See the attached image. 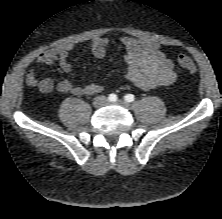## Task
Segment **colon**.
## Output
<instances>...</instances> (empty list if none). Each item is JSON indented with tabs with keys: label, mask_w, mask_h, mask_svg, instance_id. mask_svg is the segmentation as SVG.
Segmentation results:
<instances>
[{
	"label": "colon",
	"mask_w": 222,
	"mask_h": 219,
	"mask_svg": "<svg viewBox=\"0 0 222 219\" xmlns=\"http://www.w3.org/2000/svg\"><path fill=\"white\" fill-rule=\"evenodd\" d=\"M177 62H178V65L181 69H183L191 74H195L198 71L196 64L187 55H184V54L178 55Z\"/></svg>",
	"instance_id": "obj_1"
}]
</instances>
